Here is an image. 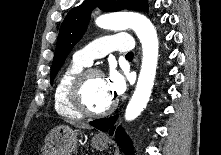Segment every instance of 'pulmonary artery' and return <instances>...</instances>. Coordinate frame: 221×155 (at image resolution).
I'll return each mask as SVG.
<instances>
[{
    "label": "pulmonary artery",
    "instance_id": "e3ab8cb5",
    "mask_svg": "<svg viewBox=\"0 0 221 155\" xmlns=\"http://www.w3.org/2000/svg\"><path fill=\"white\" fill-rule=\"evenodd\" d=\"M133 41L129 34L119 33L96 39L84 49L75 53L74 59L84 65H90L94 59L102 57L111 51L130 52Z\"/></svg>",
    "mask_w": 221,
    "mask_h": 155
}]
</instances>
